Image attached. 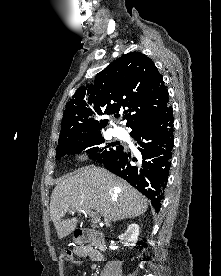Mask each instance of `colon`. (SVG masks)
I'll use <instances>...</instances> for the list:
<instances>
[{
	"mask_svg": "<svg viewBox=\"0 0 221 276\" xmlns=\"http://www.w3.org/2000/svg\"><path fill=\"white\" fill-rule=\"evenodd\" d=\"M60 259L63 262H71L73 260V253H72V251L68 250V251L63 252L60 255Z\"/></svg>",
	"mask_w": 221,
	"mask_h": 276,
	"instance_id": "5ec220e1",
	"label": "colon"
}]
</instances>
